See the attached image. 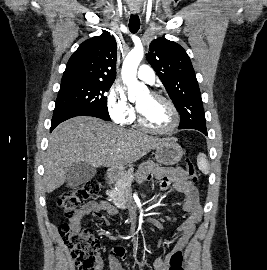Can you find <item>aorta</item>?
<instances>
[{
  "label": "aorta",
  "instance_id": "obj_1",
  "mask_svg": "<svg viewBox=\"0 0 267 270\" xmlns=\"http://www.w3.org/2000/svg\"><path fill=\"white\" fill-rule=\"evenodd\" d=\"M143 56V48L135 47L128 53L122 65V80L128 87V98L131 101L148 93L147 87L137 80V68Z\"/></svg>",
  "mask_w": 267,
  "mask_h": 270
}]
</instances>
